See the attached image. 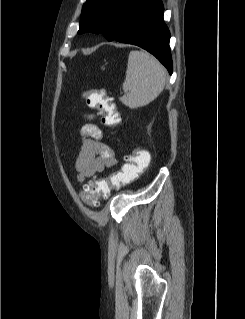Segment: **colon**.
Here are the masks:
<instances>
[{"mask_svg":"<svg viewBox=\"0 0 245 319\" xmlns=\"http://www.w3.org/2000/svg\"><path fill=\"white\" fill-rule=\"evenodd\" d=\"M83 97L87 106L97 110L104 125L113 127L120 123L121 117L115 101L112 97L107 96L104 90H88L84 92ZM149 163V154L144 150L136 149L126 156V163L122 168L110 177H93L80 192L82 200L89 205L97 206L98 200L108 196L112 189L118 190L123 185L144 174L149 167Z\"/></svg>","mask_w":245,"mask_h":319,"instance_id":"colon-1","label":"colon"}]
</instances>
